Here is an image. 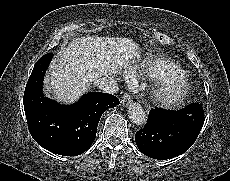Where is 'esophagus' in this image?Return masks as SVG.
Here are the masks:
<instances>
[{
  "mask_svg": "<svg viewBox=\"0 0 230 181\" xmlns=\"http://www.w3.org/2000/svg\"><path fill=\"white\" fill-rule=\"evenodd\" d=\"M121 104L123 107H127L128 105H130L132 103V99L131 96L128 94H125L121 100H120Z\"/></svg>",
  "mask_w": 230,
  "mask_h": 181,
  "instance_id": "1",
  "label": "esophagus"
}]
</instances>
